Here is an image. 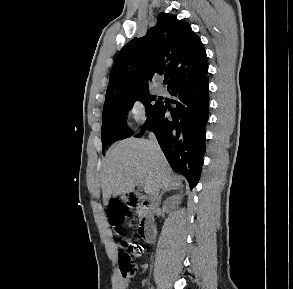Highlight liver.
<instances>
[{
  "mask_svg": "<svg viewBox=\"0 0 293 289\" xmlns=\"http://www.w3.org/2000/svg\"><path fill=\"white\" fill-rule=\"evenodd\" d=\"M137 181L149 195L156 189L182 185L180 179L172 176L160 147L152 146L149 140L128 138L106 154L101 172L103 199L133 192Z\"/></svg>",
  "mask_w": 293,
  "mask_h": 289,
  "instance_id": "obj_1",
  "label": "liver"
}]
</instances>
